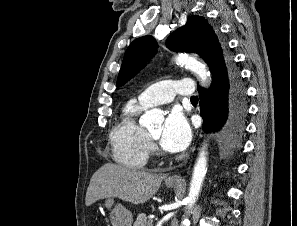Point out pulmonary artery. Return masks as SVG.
Returning a JSON list of instances; mask_svg holds the SVG:
<instances>
[{
    "mask_svg": "<svg viewBox=\"0 0 297 226\" xmlns=\"http://www.w3.org/2000/svg\"><path fill=\"white\" fill-rule=\"evenodd\" d=\"M194 92L193 80H164L144 89L138 99L147 107L170 103L175 95L191 97Z\"/></svg>",
    "mask_w": 297,
    "mask_h": 226,
    "instance_id": "e3ab8cb5",
    "label": "pulmonary artery"
}]
</instances>
